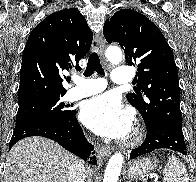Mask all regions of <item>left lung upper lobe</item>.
<instances>
[{
  "label": "left lung upper lobe",
  "instance_id": "5c2ea615",
  "mask_svg": "<svg viewBox=\"0 0 196 182\" xmlns=\"http://www.w3.org/2000/svg\"><path fill=\"white\" fill-rule=\"evenodd\" d=\"M103 34L108 43L120 44L128 65L137 66L139 89L136 94H127V99L145 124L163 121L182 130L178 71L159 28L146 16L122 9L106 20Z\"/></svg>",
  "mask_w": 196,
  "mask_h": 182
}]
</instances>
